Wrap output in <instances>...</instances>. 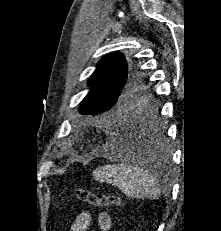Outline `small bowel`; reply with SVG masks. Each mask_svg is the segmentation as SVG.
<instances>
[{
	"mask_svg": "<svg viewBox=\"0 0 221 231\" xmlns=\"http://www.w3.org/2000/svg\"><path fill=\"white\" fill-rule=\"evenodd\" d=\"M91 221V213L84 211L76 217L74 223L70 227V231H87L91 225ZM96 222L99 231H109L111 229L112 219L108 213H99Z\"/></svg>",
	"mask_w": 221,
	"mask_h": 231,
	"instance_id": "1",
	"label": "small bowel"
}]
</instances>
